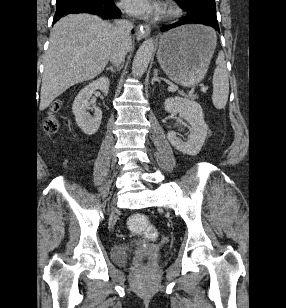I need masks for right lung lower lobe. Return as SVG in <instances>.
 Segmentation results:
<instances>
[{
	"mask_svg": "<svg viewBox=\"0 0 286 308\" xmlns=\"http://www.w3.org/2000/svg\"><path fill=\"white\" fill-rule=\"evenodd\" d=\"M72 13H90L103 19L117 18L121 15L113 0H63L56 3L53 23L63 15Z\"/></svg>",
	"mask_w": 286,
	"mask_h": 308,
	"instance_id": "right-lung-lower-lobe-1",
	"label": "right lung lower lobe"
}]
</instances>
